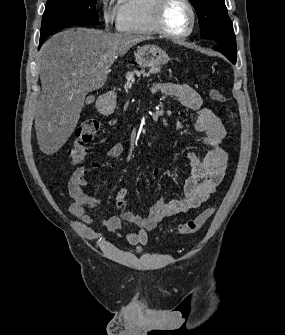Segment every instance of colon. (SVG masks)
<instances>
[{"instance_id": "1", "label": "colon", "mask_w": 285, "mask_h": 335, "mask_svg": "<svg viewBox=\"0 0 285 335\" xmlns=\"http://www.w3.org/2000/svg\"><path fill=\"white\" fill-rule=\"evenodd\" d=\"M210 97L216 102H224V95L217 89L210 87ZM230 118L235 119V114L230 112ZM99 125L94 119L83 121L75 131L73 147L70 151L71 159L74 163H81L86 155V144L90 143L96 136ZM215 212L214 207H208L199 213L196 217L189 219L176 227L180 234H192L199 231Z\"/></svg>"}]
</instances>
